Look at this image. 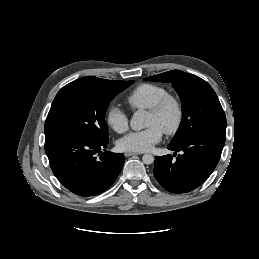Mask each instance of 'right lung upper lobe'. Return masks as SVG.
I'll return each mask as SVG.
<instances>
[{
    "label": "right lung upper lobe",
    "mask_w": 259,
    "mask_h": 259,
    "mask_svg": "<svg viewBox=\"0 0 259 259\" xmlns=\"http://www.w3.org/2000/svg\"><path fill=\"white\" fill-rule=\"evenodd\" d=\"M78 80L85 81V82L91 83V84L99 86V87H108L111 85V83L113 81V80L100 79V78H97L94 76L83 77Z\"/></svg>",
    "instance_id": "obj_1"
}]
</instances>
